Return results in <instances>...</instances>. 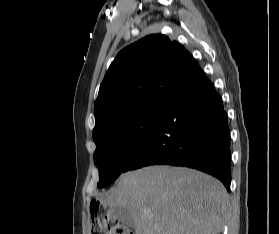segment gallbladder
<instances>
[{
	"instance_id": "gallbladder-1",
	"label": "gallbladder",
	"mask_w": 279,
	"mask_h": 234,
	"mask_svg": "<svg viewBox=\"0 0 279 234\" xmlns=\"http://www.w3.org/2000/svg\"><path fill=\"white\" fill-rule=\"evenodd\" d=\"M109 213L125 225L134 227L133 217L127 209L120 207L110 208Z\"/></svg>"
}]
</instances>
